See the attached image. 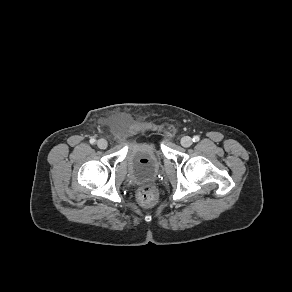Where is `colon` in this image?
<instances>
[{
	"label": "colon",
	"instance_id": "5ec220e1",
	"mask_svg": "<svg viewBox=\"0 0 292 292\" xmlns=\"http://www.w3.org/2000/svg\"><path fill=\"white\" fill-rule=\"evenodd\" d=\"M158 189L156 186L148 184L142 186L137 193L138 201L145 207L153 206L158 200Z\"/></svg>",
	"mask_w": 292,
	"mask_h": 292
}]
</instances>
